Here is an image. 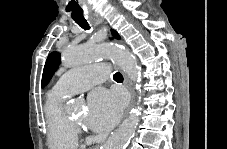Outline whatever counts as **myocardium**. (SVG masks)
<instances>
[{"label":"myocardium","instance_id":"f54148a6","mask_svg":"<svg viewBox=\"0 0 227 149\" xmlns=\"http://www.w3.org/2000/svg\"><path fill=\"white\" fill-rule=\"evenodd\" d=\"M71 120V119H70ZM71 123L73 124V126L78 130L81 129L82 124L80 121H76V120H71Z\"/></svg>","mask_w":227,"mask_h":149}]
</instances>
